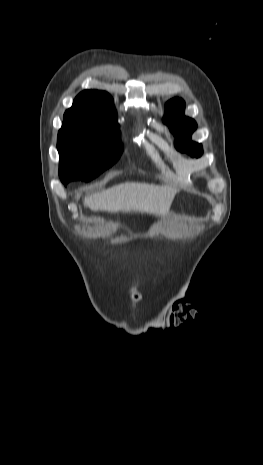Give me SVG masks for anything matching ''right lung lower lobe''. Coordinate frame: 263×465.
Instances as JSON below:
<instances>
[{
	"label": "right lung lower lobe",
	"instance_id": "obj_1",
	"mask_svg": "<svg viewBox=\"0 0 263 465\" xmlns=\"http://www.w3.org/2000/svg\"><path fill=\"white\" fill-rule=\"evenodd\" d=\"M63 183L66 185L68 182H64V181H63Z\"/></svg>",
	"mask_w": 263,
	"mask_h": 465
}]
</instances>
